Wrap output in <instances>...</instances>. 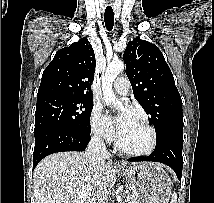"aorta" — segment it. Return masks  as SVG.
Returning a JSON list of instances; mask_svg holds the SVG:
<instances>
[{
    "instance_id": "aorta-1",
    "label": "aorta",
    "mask_w": 214,
    "mask_h": 203,
    "mask_svg": "<svg viewBox=\"0 0 214 203\" xmlns=\"http://www.w3.org/2000/svg\"><path fill=\"white\" fill-rule=\"evenodd\" d=\"M124 70V63L121 60H113L107 65L105 74L102 76V92L107 105L115 104L117 98L113 93V82L120 72Z\"/></svg>"
}]
</instances>
